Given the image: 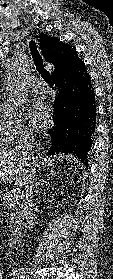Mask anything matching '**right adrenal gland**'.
<instances>
[{
    "label": "right adrenal gland",
    "mask_w": 113,
    "mask_h": 279,
    "mask_svg": "<svg viewBox=\"0 0 113 279\" xmlns=\"http://www.w3.org/2000/svg\"><path fill=\"white\" fill-rule=\"evenodd\" d=\"M38 185H40V182H38L37 185H36V193L39 192Z\"/></svg>",
    "instance_id": "2a0ac1e0"
}]
</instances>
